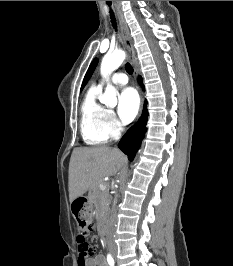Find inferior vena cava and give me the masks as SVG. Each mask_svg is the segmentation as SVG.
Wrapping results in <instances>:
<instances>
[{
	"label": "inferior vena cava",
	"mask_w": 233,
	"mask_h": 266,
	"mask_svg": "<svg viewBox=\"0 0 233 266\" xmlns=\"http://www.w3.org/2000/svg\"><path fill=\"white\" fill-rule=\"evenodd\" d=\"M114 224H115V215H114L113 218L111 219V223H110L109 236H110V244H111V245H113V241L111 240V236H112V234H113Z\"/></svg>",
	"instance_id": "obj_1"
}]
</instances>
